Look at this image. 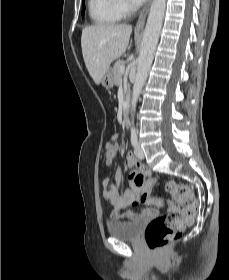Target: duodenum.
<instances>
[{"instance_id": "obj_1", "label": "duodenum", "mask_w": 229, "mask_h": 280, "mask_svg": "<svg viewBox=\"0 0 229 280\" xmlns=\"http://www.w3.org/2000/svg\"><path fill=\"white\" fill-rule=\"evenodd\" d=\"M123 124L129 125V99L127 97L124 98L123 102Z\"/></svg>"}]
</instances>
